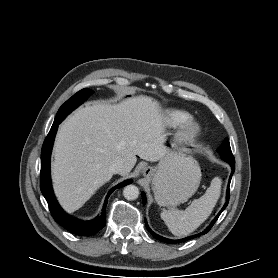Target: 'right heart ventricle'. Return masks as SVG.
<instances>
[{
    "instance_id": "e07e8e85",
    "label": "right heart ventricle",
    "mask_w": 278,
    "mask_h": 278,
    "mask_svg": "<svg viewBox=\"0 0 278 278\" xmlns=\"http://www.w3.org/2000/svg\"><path fill=\"white\" fill-rule=\"evenodd\" d=\"M190 118L191 115L187 111L180 110V109L169 110L167 115V121L173 127H178L183 125Z\"/></svg>"
}]
</instances>
